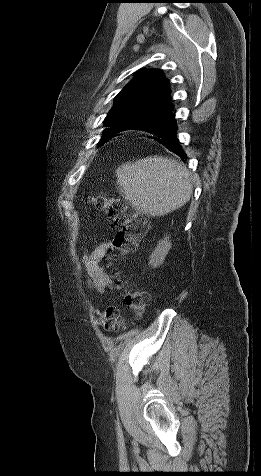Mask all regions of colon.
<instances>
[{
  "label": "colon",
  "instance_id": "colon-1",
  "mask_svg": "<svg viewBox=\"0 0 261 476\" xmlns=\"http://www.w3.org/2000/svg\"><path fill=\"white\" fill-rule=\"evenodd\" d=\"M91 202L117 227L105 261L106 266L110 267L115 261L136 250L140 238L148 232V220L112 195L99 194ZM117 286L124 287L121 278L117 279ZM124 302L133 315L140 316L149 303V295L141 289H130L125 292ZM98 323L106 331H116L122 326L123 318L117 308L110 306L99 312Z\"/></svg>",
  "mask_w": 261,
  "mask_h": 476
}]
</instances>
